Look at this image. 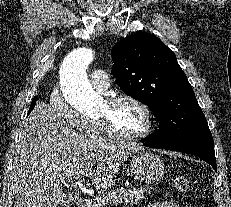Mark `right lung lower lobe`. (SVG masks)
<instances>
[{"label": "right lung lower lobe", "mask_w": 231, "mask_h": 207, "mask_svg": "<svg viewBox=\"0 0 231 207\" xmlns=\"http://www.w3.org/2000/svg\"><path fill=\"white\" fill-rule=\"evenodd\" d=\"M35 103H36V97L33 99L32 103H31V106H30V109H29V113H30V112L32 111V109L34 108Z\"/></svg>", "instance_id": "right-lung-lower-lobe-1"}]
</instances>
